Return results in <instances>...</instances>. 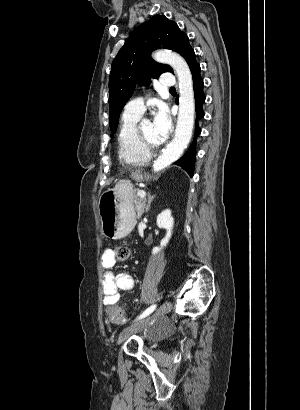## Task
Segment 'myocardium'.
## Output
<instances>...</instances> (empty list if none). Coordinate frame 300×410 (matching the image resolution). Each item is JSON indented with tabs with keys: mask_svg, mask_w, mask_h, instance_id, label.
<instances>
[{
	"mask_svg": "<svg viewBox=\"0 0 300 410\" xmlns=\"http://www.w3.org/2000/svg\"><path fill=\"white\" fill-rule=\"evenodd\" d=\"M136 136L140 146L146 151H152L160 147V143H151L143 133L142 122H139L136 127Z\"/></svg>",
	"mask_w": 300,
	"mask_h": 410,
	"instance_id": "1",
	"label": "myocardium"
}]
</instances>
